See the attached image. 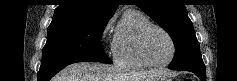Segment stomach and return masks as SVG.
Wrapping results in <instances>:
<instances>
[{
  "label": "stomach",
  "mask_w": 237,
  "mask_h": 81,
  "mask_svg": "<svg viewBox=\"0 0 237 81\" xmlns=\"http://www.w3.org/2000/svg\"><path fill=\"white\" fill-rule=\"evenodd\" d=\"M152 81H171V79L167 76H161V77H158Z\"/></svg>",
  "instance_id": "0dacf381"
}]
</instances>
